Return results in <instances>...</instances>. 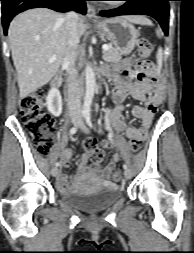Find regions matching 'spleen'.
I'll return each instance as SVG.
<instances>
[{"label": "spleen", "instance_id": "spleen-1", "mask_svg": "<svg viewBox=\"0 0 194 253\" xmlns=\"http://www.w3.org/2000/svg\"><path fill=\"white\" fill-rule=\"evenodd\" d=\"M162 48L159 47L157 54H156V59H157V72L160 73L161 67H162Z\"/></svg>", "mask_w": 194, "mask_h": 253}]
</instances>
